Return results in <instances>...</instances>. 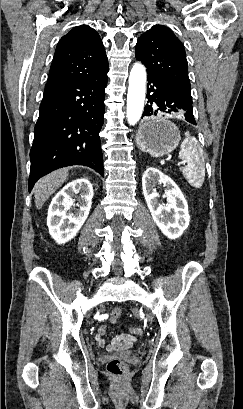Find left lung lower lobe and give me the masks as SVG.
Instances as JSON below:
<instances>
[{"label":"left lung lower lobe","instance_id":"1","mask_svg":"<svg viewBox=\"0 0 243 409\" xmlns=\"http://www.w3.org/2000/svg\"><path fill=\"white\" fill-rule=\"evenodd\" d=\"M147 98L148 103L144 108L142 117L161 113H178L186 121L196 125L191 91L182 89L161 78L148 76Z\"/></svg>","mask_w":243,"mask_h":409}]
</instances>
